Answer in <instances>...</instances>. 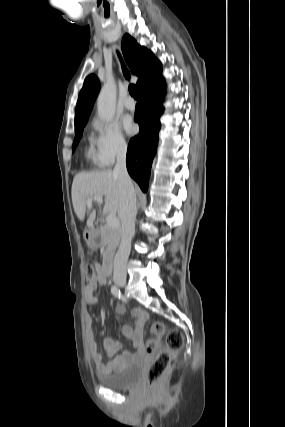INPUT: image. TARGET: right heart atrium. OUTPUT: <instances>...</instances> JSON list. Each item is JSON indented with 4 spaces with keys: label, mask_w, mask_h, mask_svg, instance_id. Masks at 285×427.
<instances>
[{
    "label": "right heart atrium",
    "mask_w": 285,
    "mask_h": 427,
    "mask_svg": "<svg viewBox=\"0 0 285 427\" xmlns=\"http://www.w3.org/2000/svg\"><path fill=\"white\" fill-rule=\"evenodd\" d=\"M92 127L94 130L92 142L103 165H111L116 158L126 154L128 143L116 123L95 120Z\"/></svg>",
    "instance_id": "1"
}]
</instances>
